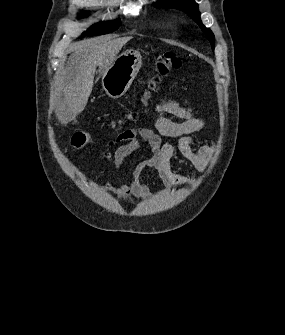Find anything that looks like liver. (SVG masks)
Masks as SVG:
<instances>
[{
	"label": "liver",
	"mask_w": 285,
	"mask_h": 335,
	"mask_svg": "<svg viewBox=\"0 0 285 335\" xmlns=\"http://www.w3.org/2000/svg\"><path fill=\"white\" fill-rule=\"evenodd\" d=\"M131 38L83 40L70 46L71 54L64 76L56 88L55 114L61 124H68L83 112L94 86L97 66L108 70L121 48Z\"/></svg>",
	"instance_id": "obj_1"
}]
</instances>
